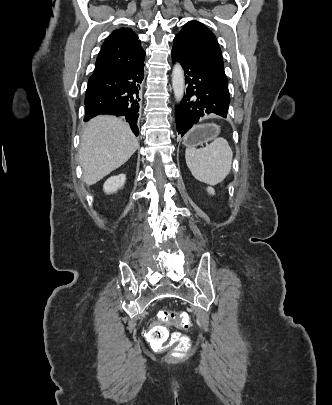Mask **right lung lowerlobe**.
Returning <instances> with one entry per match:
<instances>
[{"instance_id": "1", "label": "right lung lower lobe", "mask_w": 332, "mask_h": 405, "mask_svg": "<svg viewBox=\"0 0 332 405\" xmlns=\"http://www.w3.org/2000/svg\"><path fill=\"white\" fill-rule=\"evenodd\" d=\"M144 59L122 69L95 72L88 81L84 121L99 114L123 116L136 136Z\"/></svg>"}]
</instances>
